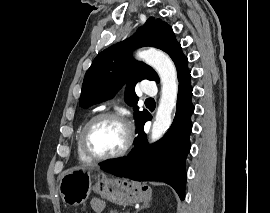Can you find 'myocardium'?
<instances>
[{
    "label": "myocardium",
    "instance_id": "1",
    "mask_svg": "<svg viewBox=\"0 0 270 213\" xmlns=\"http://www.w3.org/2000/svg\"><path fill=\"white\" fill-rule=\"evenodd\" d=\"M102 119H115L122 122L126 127V142L124 146L117 152L111 153L109 155L99 156L93 154L88 146V134L91 128ZM134 139L133 127L129 120L119 112L115 111H103L92 116L84 125L81 133V148L86 157L95 162H102L108 160H114L123 157L130 150Z\"/></svg>",
    "mask_w": 270,
    "mask_h": 213
}]
</instances>
